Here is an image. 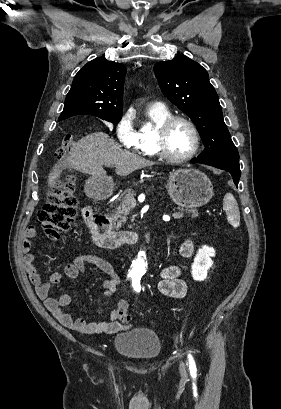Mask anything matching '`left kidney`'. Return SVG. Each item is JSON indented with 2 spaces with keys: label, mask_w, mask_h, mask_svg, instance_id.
Masks as SVG:
<instances>
[{
  "label": "left kidney",
  "mask_w": 281,
  "mask_h": 409,
  "mask_svg": "<svg viewBox=\"0 0 281 409\" xmlns=\"http://www.w3.org/2000/svg\"><path fill=\"white\" fill-rule=\"evenodd\" d=\"M211 257H215L213 247L203 245L201 249H198L197 255L194 257V263H192L191 267V275L194 281H204V279H206L208 269L213 265Z\"/></svg>",
  "instance_id": "1"
}]
</instances>
